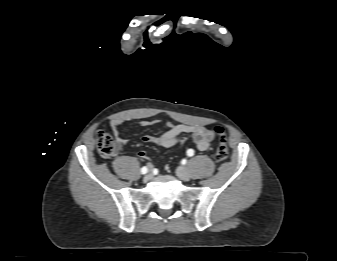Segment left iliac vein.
Returning <instances> with one entry per match:
<instances>
[{"label": "left iliac vein", "instance_id": "1", "mask_svg": "<svg viewBox=\"0 0 337 261\" xmlns=\"http://www.w3.org/2000/svg\"><path fill=\"white\" fill-rule=\"evenodd\" d=\"M177 176L184 181H188L191 178L190 171L187 167H179L176 171Z\"/></svg>", "mask_w": 337, "mask_h": 261}]
</instances>
